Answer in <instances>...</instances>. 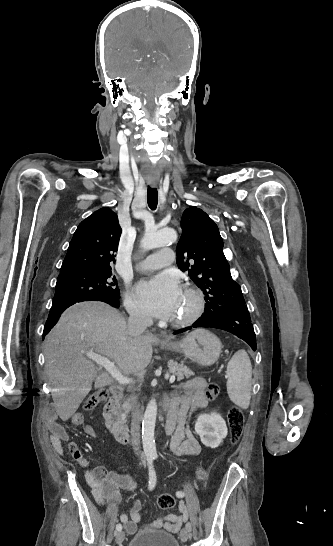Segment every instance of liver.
Returning <instances> with one entry per match:
<instances>
[{
    "instance_id": "6515ba94",
    "label": "liver",
    "mask_w": 333,
    "mask_h": 546,
    "mask_svg": "<svg viewBox=\"0 0 333 546\" xmlns=\"http://www.w3.org/2000/svg\"><path fill=\"white\" fill-rule=\"evenodd\" d=\"M158 341L152 335L131 333L124 317L105 303L69 307L44 343L46 374L59 417L66 421L75 414L94 380L95 388L114 380L108 373L96 378L88 352L112 360L124 375L136 374L149 365L152 345Z\"/></svg>"
}]
</instances>
